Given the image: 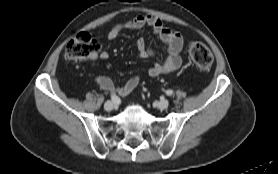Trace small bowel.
I'll list each match as a JSON object with an SVG mask.
<instances>
[{"label":"small bowel","mask_w":278,"mask_h":174,"mask_svg":"<svg viewBox=\"0 0 278 174\" xmlns=\"http://www.w3.org/2000/svg\"><path fill=\"white\" fill-rule=\"evenodd\" d=\"M143 27L151 28L152 32L158 37L160 43L166 48V55L162 62L153 64L148 69L150 77L168 75L177 71L182 64L180 53L183 48V38L181 34L163 25L161 20L152 15H138L125 22L115 24L108 32V39H116L124 29H140ZM137 52L140 58L145 59L156 53L155 48L149 46L143 38L137 40ZM92 60H107L109 53L101 51L91 56ZM97 85L111 94L126 96L130 94L139 84L140 78L134 76L129 78L122 86H118L107 76H97Z\"/></svg>","instance_id":"c3829d8e"}]
</instances>
